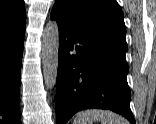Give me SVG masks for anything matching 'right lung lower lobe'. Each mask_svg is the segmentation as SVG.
<instances>
[{
    "instance_id": "1",
    "label": "right lung lower lobe",
    "mask_w": 156,
    "mask_h": 124,
    "mask_svg": "<svg viewBox=\"0 0 156 124\" xmlns=\"http://www.w3.org/2000/svg\"><path fill=\"white\" fill-rule=\"evenodd\" d=\"M25 27L0 30V124H21L20 69Z\"/></svg>"
}]
</instances>
